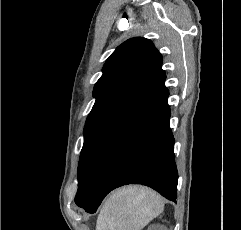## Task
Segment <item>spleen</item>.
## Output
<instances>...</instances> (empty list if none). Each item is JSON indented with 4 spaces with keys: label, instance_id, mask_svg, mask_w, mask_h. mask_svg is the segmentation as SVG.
I'll list each match as a JSON object with an SVG mask.
<instances>
[{
    "label": "spleen",
    "instance_id": "3e777b00",
    "mask_svg": "<svg viewBox=\"0 0 241 230\" xmlns=\"http://www.w3.org/2000/svg\"><path fill=\"white\" fill-rule=\"evenodd\" d=\"M164 208L155 191L142 186H126L109 195L98 215L96 230H141Z\"/></svg>",
    "mask_w": 241,
    "mask_h": 230
}]
</instances>
